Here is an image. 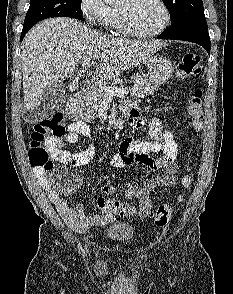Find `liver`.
I'll use <instances>...</instances> for the list:
<instances>
[{
    "instance_id": "6515ba94",
    "label": "liver",
    "mask_w": 233,
    "mask_h": 294,
    "mask_svg": "<svg viewBox=\"0 0 233 294\" xmlns=\"http://www.w3.org/2000/svg\"><path fill=\"white\" fill-rule=\"evenodd\" d=\"M162 46L157 40L115 38L74 19L45 20L35 25L22 43L24 109L34 110L45 88L71 78L85 59L98 60V77L111 79L144 62Z\"/></svg>"
}]
</instances>
